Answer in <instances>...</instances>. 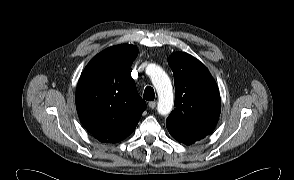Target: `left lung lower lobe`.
<instances>
[{
    "label": "left lung lower lobe",
    "mask_w": 294,
    "mask_h": 180,
    "mask_svg": "<svg viewBox=\"0 0 294 180\" xmlns=\"http://www.w3.org/2000/svg\"><path fill=\"white\" fill-rule=\"evenodd\" d=\"M172 137H174L177 141L182 142L186 145L194 144L196 141L203 139L204 137H197V136H189L184 134H178L174 132H169Z\"/></svg>",
    "instance_id": "0a47b994"
}]
</instances>
